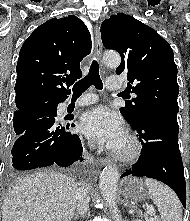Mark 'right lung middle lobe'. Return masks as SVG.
Instances as JSON below:
<instances>
[{"mask_svg": "<svg viewBox=\"0 0 190 221\" xmlns=\"http://www.w3.org/2000/svg\"><path fill=\"white\" fill-rule=\"evenodd\" d=\"M53 104L35 106L20 113H15L13 126L16 135H21L36 120L54 114Z\"/></svg>", "mask_w": 190, "mask_h": 221, "instance_id": "right-lung-middle-lobe-1", "label": "right lung middle lobe"}]
</instances>
